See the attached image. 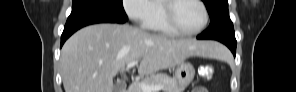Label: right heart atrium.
<instances>
[{"label": "right heart atrium", "instance_id": "obj_1", "mask_svg": "<svg viewBox=\"0 0 296 92\" xmlns=\"http://www.w3.org/2000/svg\"><path fill=\"white\" fill-rule=\"evenodd\" d=\"M123 5L128 17L141 26L145 27L155 16L154 1L125 0Z\"/></svg>", "mask_w": 296, "mask_h": 92}]
</instances>
